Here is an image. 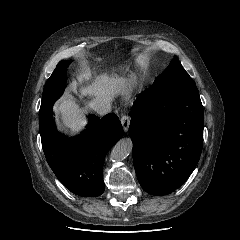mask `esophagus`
<instances>
[{"label": "esophagus", "instance_id": "1", "mask_svg": "<svg viewBox=\"0 0 240 240\" xmlns=\"http://www.w3.org/2000/svg\"><path fill=\"white\" fill-rule=\"evenodd\" d=\"M120 121L124 131H127L130 126L131 118L128 115H123Z\"/></svg>", "mask_w": 240, "mask_h": 240}]
</instances>
